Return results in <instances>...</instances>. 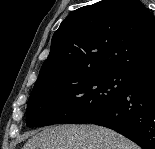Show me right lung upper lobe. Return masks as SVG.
I'll return each instance as SVG.
<instances>
[{"instance_id": "1", "label": "right lung upper lobe", "mask_w": 155, "mask_h": 149, "mask_svg": "<svg viewBox=\"0 0 155 149\" xmlns=\"http://www.w3.org/2000/svg\"><path fill=\"white\" fill-rule=\"evenodd\" d=\"M154 70L155 17L138 0H102L60 24L36 83L65 73Z\"/></svg>"}]
</instances>
